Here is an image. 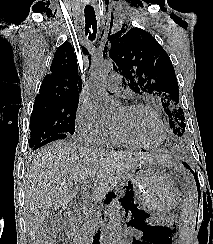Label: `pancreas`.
Returning <instances> with one entry per match:
<instances>
[{
    "mask_svg": "<svg viewBox=\"0 0 213 244\" xmlns=\"http://www.w3.org/2000/svg\"><path fill=\"white\" fill-rule=\"evenodd\" d=\"M94 232V221L90 220L89 218H86L82 222L79 230L80 240L84 241L85 244H88Z\"/></svg>",
    "mask_w": 213,
    "mask_h": 244,
    "instance_id": "cf45deb5",
    "label": "pancreas"
}]
</instances>
